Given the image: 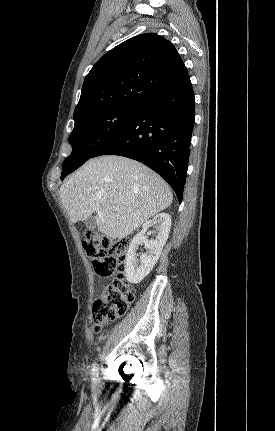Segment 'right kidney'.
I'll list each match as a JSON object with an SVG mask.
<instances>
[{
    "instance_id": "right-kidney-1",
    "label": "right kidney",
    "mask_w": 275,
    "mask_h": 431,
    "mask_svg": "<svg viewBox=\"0 0 275 431\" xmlns=\"http://www.w3.org/2000/svg\"><path fill=\"white\" fill-rule=\"evenodd\" d=\"M151 226H157L158 234L155 240H148L145 235ZM170 228L171 216L160 213L153 220L145 222L142 230L134 236L125 259V276L130 283H140L153 269L168 239ZM141 244H144L146 252L138 259L136 250Z\"/></svg>"
}]
</instances>
